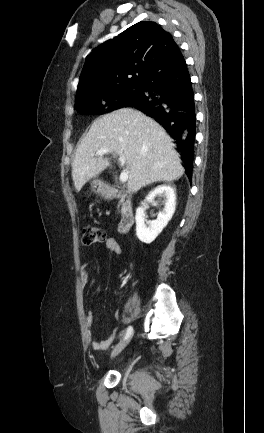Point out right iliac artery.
Listing matches in <instances>:
<instances>
[{
	"instance_id": "82829eb1",
	"label": "right iliac artery",
	"mask_w": 264,
	"mask_h": 433,
	"mask_svg": "<svg viewBox=\"0 0 264 433\" xmlns=\"http://www.w3.org/2000/svg\"><path fill=\"white\" fill-rule=\"evenodd\" d=\"M132 332H133V328H132V326H129L127 328L126 335H125L124 339H127V338L131 337Z\"/></svg>"
}]
</instances>
